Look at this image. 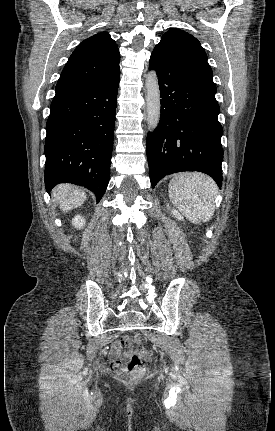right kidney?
<instances>
[{
  "instance_id": "right-kidney-1",
  "label": "right kidney",
  "mask_w": 275,
  "mask_h": 431,
  "mask_svg": "<svg viewBox=\"0 0 275 431\" xmlns=\"http://www.w3.org/2000/svg\"><path fill=\"white\" fill-rule=\"evenodd\" d=\"M85 219L80 216V215H76L73 219H72V224L75 226V228L77 229H81L85 226Z\"/></svg>"
}]
</instances>
